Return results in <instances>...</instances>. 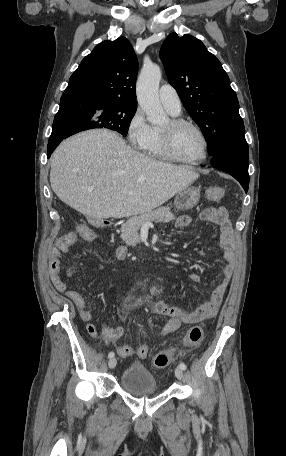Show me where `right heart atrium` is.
<instances>
[{
	"instance_id": "obj_1",
	"label": "right heart atrium",
	"mask_w": 286,
	"mask_h": 456,
	"mask_svg": "<svg viewBox=\"0 0 286 456\" xmlns=\"http://www.w3.org/2000/svg\"><path fill=\"white\" fill-rule=\"evenodd\" d=\"M152 128L147 123L144 112L136 108L127 124L126 135L131 146L142 149L149 141Z\"/></svg>"
}]
</instances>
